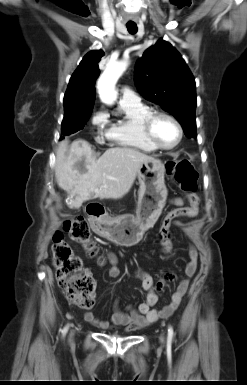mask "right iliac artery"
I'll use <instances>...</instances> for the list:
<instances>
[{"label":"right iliac artery","mask_w":247,"mask_h":385,"mask_svg":"<svg viewBox=\"0 0 247 385\" xmlns=\"http://www.w3.org/2000/svg\"><path fill=\"white\" fill-rule=\"evenodd\" d=\"M67 329L68 327H65L64 330H63V334H65L67 332Z\"/></svg>","instance_id":"obj_1"}]
</instances>
